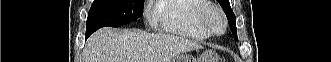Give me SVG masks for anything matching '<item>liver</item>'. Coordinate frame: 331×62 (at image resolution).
I'll use <instances>...</instances> for the list:
<instances>
[{
  "label": "liver",
  "instance_id": "liver-1",
  "mask_svg": "<svg viewBox=\"0 0 331 62\" xmlns=\"http://www.w3.org/2000/svg\"><path fill=\"white\" fill-rule=\"evenodd\" d=\"M198 48V43L180 36L102 28L89 38L85 56L86 62H170Z\"/></svg>",
  "mask_w": 331,
  "mask_h": 62
}]
</instances>
